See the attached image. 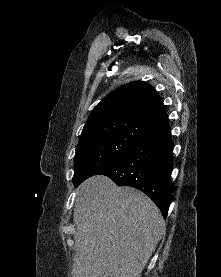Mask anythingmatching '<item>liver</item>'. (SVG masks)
I'll return each instance as SVG.
<instances>
[{"instance_id":"obj_1","label":"liver","mask_w":221,"mask_h":277,"mask_svg":"<svg viewBox=\"0 0 221 277\" xmlns=\"http://www.w3.org/2000/svg\"><path fill=\"white\" fill-rule=\"evenodd\" d=\"M72 277H141L165 233L156 204L110 178L90 177L76 189Z\"/></svg>"}]
</instances>
